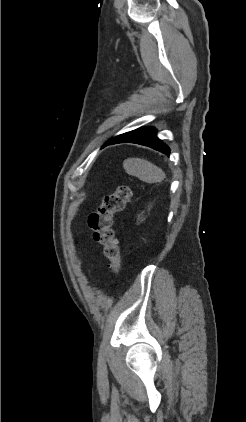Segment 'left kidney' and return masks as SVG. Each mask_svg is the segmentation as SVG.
Masks as SVG:
<instances>
[{
	"mask_svg": "<svg viewBox=\"0 0 246 422\" xmlns=\"http://www.w3.org/2000/svg\"><path fill=\"white\" fill-rule=\"evenodd\" d=\"M137 219H138V221L143 222L145 220L143 213L139 214Z\"/></svg>",
	"mask_w": 246,
	"mask_h": 422,
	"instance_id": "obj_1",
	"label": "left kidney"
}]
</instances>
